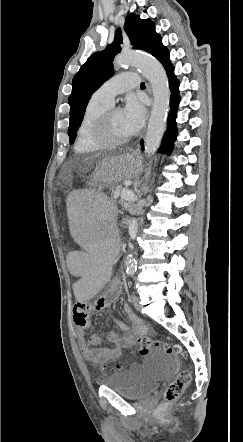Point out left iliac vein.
Here are the masks:
<instances>
[{
    "instance_id": "left-iliac-vein-1",
    "label": "left iliac vein",
    "mask_w": 243,
    "mask_h": 442,
    "mask_svg": "<svg viewBox=\"0 0 243 442\" xmlns=\"http://www.w3.org/2000/svg\"><path fill=\"white\" fill-rule=\"evenodd\" d=\"M132 303L135 309H139V301L136 295H132Z\"/></svg>"
}]
</instances>
